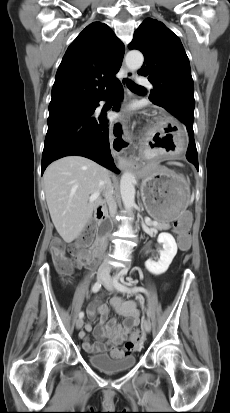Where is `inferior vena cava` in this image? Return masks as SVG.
Wrapping results in <instances>:
<instances>
[{
	"mask_svg": "<svg viewBox=\"0 0 230 413\" xmlns=\"http://www.w3.org/2000/svg\"><path fill=\"white\" fill-rule=\"evenodd\" d=\"M106 184H107V190H106V193H105V198H106V202L109 206L110 216L112 218H114L115 215H116V211H117V204H116V201L113 197V188H112V185H111L110 178H108V180L106 181ZM110 271H111V266L109 265L108 261H104L102 263V265L100 266V268H99V272H105L106 274H109Z\"/></svg>",
	"mask_w": 230,
	"mask_h": 413,
	"instance_id": "602c4592",
	"label": "inferior vena cava"
}]
</instances>
